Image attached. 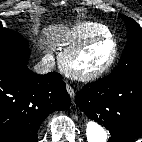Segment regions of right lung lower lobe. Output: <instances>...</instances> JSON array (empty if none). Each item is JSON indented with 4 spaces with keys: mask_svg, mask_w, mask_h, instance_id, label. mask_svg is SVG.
Returning <instances> with one entry per match:
<instances>
[{
    "mask_svg": "<svg viewBox=\"0 0 142 142\" xmlns=\"http://www.w3.org/2000/svg\"><path fill=\"white\" fill-rule=\"evenodd\" d=\"M69 105L59 73L38 75L19 59L0 60V142H36L43 120Z\"/></svg>",
    "mask_w": 142,
    "mask_h": 142,
    "instance_id": "obj_1",
    "label": "right lung lower lobe"
}]
</instances>
